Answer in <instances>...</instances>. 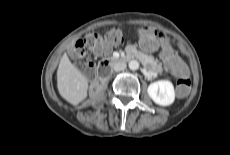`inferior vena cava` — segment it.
<instances>
[{"label": "inferior vena cava", "instance_id": "inferior-vena-cava-1", "mask_svg": "<svg viewBox=\"0 0 230 155\" xmlns=\"http://www.w3.org/2000/svg\"><path fill=\"white\" fill-rule=\"evenodd\" d=\"M126 62L124 61H117L114 66H113V69L114 71H122L124 69H126Z\"/></svg>", "mask_w": 230, "mask_h": 155}]
</instances>
